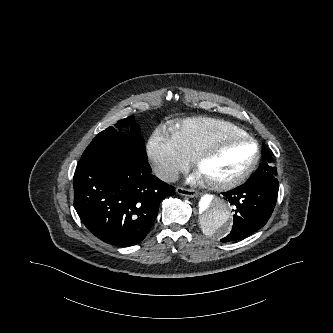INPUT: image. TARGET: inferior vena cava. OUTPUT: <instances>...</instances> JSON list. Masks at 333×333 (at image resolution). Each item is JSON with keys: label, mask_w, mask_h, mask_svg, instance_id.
Here are the masks:
<instances>
[{"label": "inferior vena cava", "mask_w": 333, "mask_h": 333, "mask_svg": "<svg viewBox=\"0 0 333 333\" xmlns=\"http://www.w3.org/2000/svg\"><path fill=\"white\" fill-rule=\"evenodd\" d=\"M158 178L165 182H175L178 179V171L168 167H159L155 169Z\"/></svg>", "instance_id": "602c4592"}]
</instances>
